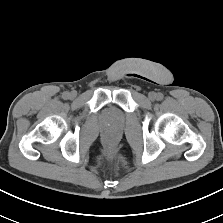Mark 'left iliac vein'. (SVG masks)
Masks as SVG:
<instances>
[{
    "instance_id": "left-iliac-vein-1",
    "label": "left iliac vein",
    "mask_w": 223,
    "mask_h": 223,
    "mask_svg": "<svg viewBox=\"0 0 223 223\" xmlns=\"http://www.w3.org/2000/svg\"><path fill=\"white\" fill-rule=\"evenodd\" d=\"M156 93L155 92H150L148 94V98L151 100V101H154L156 99Z\"/></svg>"
}]
</instances>
